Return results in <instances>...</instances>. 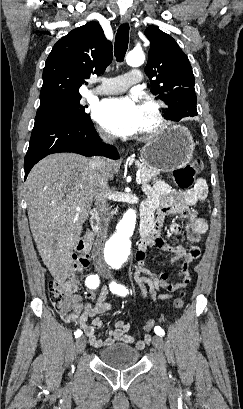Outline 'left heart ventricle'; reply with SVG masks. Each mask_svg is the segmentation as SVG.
<instances>
[{
  "label": "left heart ventricle",
  "instance_id": "left-heart-ventricle-1",
  "mask_svg": "<svg viewBox=\"0 0 243 409\" xmlns=\"http://www.w3.org/2000/svg\"><path fill=\"white\" fill-rule=\"evenodd\" d=\"M140 116H141V123L139 131H143L152 127L155 123L152 111L149 107L144 104L140 105Z\"/></svg>",
  "mask_w": 243,
  "mask_h": 409
}]
</instances>
